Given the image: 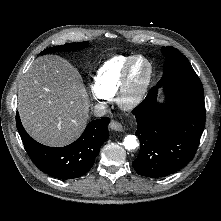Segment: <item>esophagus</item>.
Returning a JSON list of instances; mask_svg holds the SVG:
<instances>
[{"instance_id":"obj_1","label":"esophagus","mask_w":221,"mask_h":221,"mask_svg":"<svg viewBox=\"0 0 221 221\" xmlns=\"http://www.w3.org/2000/svg\"><path fill=\"white\" fill-rule=\"evenodd\" d=\"M110 128L114 131H123V126L116 120H111Z\"/></svg>"}]
</instances>
